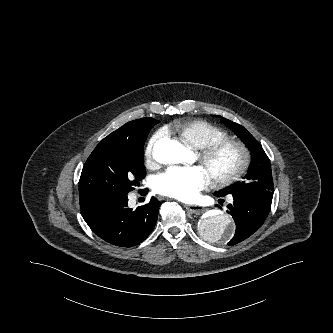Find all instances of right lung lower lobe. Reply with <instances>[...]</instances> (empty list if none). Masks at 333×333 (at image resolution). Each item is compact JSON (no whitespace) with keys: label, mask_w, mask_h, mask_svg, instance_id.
Segmentation results:
<instances>
[{"label":"right lung lower lobe","mask_w":333,"mask_h":333,"mask_svg":"<svg viewBox=\"0 0 333 333\" xmlns=\"http://www.w3.org/2000/svg\"><path fill=\"white\" fill-rule=\"evenodd\" d=\"M127 195L108 194L80 199L81 214L90 229L104 241L132 247L152 232L160 201L151 198L134 211L128 208Z\"/></svg>","instance_id":"98d812e1"}]
</instances>
